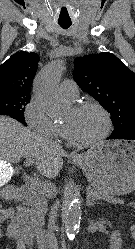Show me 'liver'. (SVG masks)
Here are the masks:
<instances>
[{
  "label": "liver",
  "instance_id": "6515ba94",
  "mask_svg": "<svg viewBox=\"0 0 135 249\" xmlns=\"http://www.w3.org/2000/svg\"><path fill=\"white\" fill-rule=\"evenodd\" d=\"M67 156L60 145L31 132L13 118L0 116V161L17 163L22 157L32 158L43 176L55 178ZM4 179L0 177V186Z\"/></svg>",
  "mask_w": 135,
  "mask_h": 249
}]
</instances>
